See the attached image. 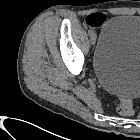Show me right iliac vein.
Returning <instances> with one entry per match:
<instances>
[{"mask_svg":"<svg viewBox=\"0 0 140 140\" xmlns=\"http://www.w3.org/2000/svg\"><path fill=\"white\" fill-rule=\"evenodd\" d=\"M90 41H91V44H92V45H95V43H96V35H95V34H92V35H91Z\"/></svg>","mask_w":140,"mask_h":140,"instance_id":"1","label":"right iliac vein"}]
</instances>
